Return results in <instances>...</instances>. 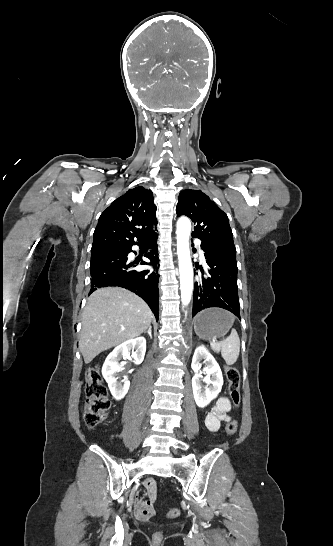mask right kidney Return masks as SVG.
Returning a JSON list of instances; mask_svg holds the SVG:
<instances>
[{
  "label": "right kidney",
  "mask_w": 333,
  "mask_h": 546,
  "mask_svg": "<svg viewBox=\"0 0 333 546\" xmlns=\"http://www.w3.org/2000/svg\"><path fill=\"white\" fill-rule=\"evenodd\" d=\"M145 352L146 340L143 337H138L125 341L107 356L102 367V374L114 399L121 400L130 386L128 378H125L122 383L117 382V374L122 369V364L119 362L120 357L130 358L138 365L143 362Z\"/></svg>",
  "instance_id": "ca27d5eb"
}]
</instances>
